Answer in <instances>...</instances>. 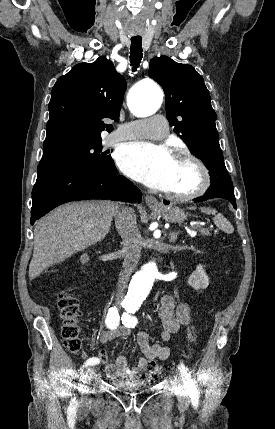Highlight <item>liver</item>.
I'll use <instances>...</instances> for the list:
<instances>
[{"label":"liver","instance_id":"1","mask_svg":"<svg viewBox=\"0 0 275 429\" xmlns=\"http://www.w3.org/2000/svg\"><path fill=\"white\" fill-rule=\"evenodd\" d=\"M119 208L118 203L111 201L74 202L42 218L34 229L30 279L103 240Z\"/></svg>","mask_w":275,"mask_h":429}]
</instances>
